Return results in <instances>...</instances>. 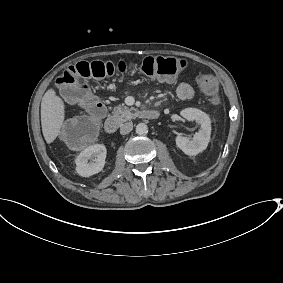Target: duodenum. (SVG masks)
I'll list each match as a JSON object with an SVG mask.
<instances>
[{"label": "duodenum", "instance_id": "1", "mask_svg": "<svg viewBox=\"0 0 283 283\" xmlns=\"http://www.w3.org/2000/svg\"><path fill=\"white\" fill-rule=\"evenodd\" d=\"M142 117L147 120H156L159 118V112L157 110H149L142 114ZM105 130L108 134H114L118 130V122L109 118L105 122Z\"/></svg>", "mask_w": 283, "mask_h": 283}]
</instances>
